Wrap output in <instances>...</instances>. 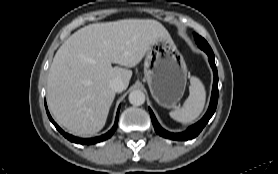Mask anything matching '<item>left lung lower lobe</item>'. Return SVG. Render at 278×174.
Instances as JSON below:
<instances>
[{
  "instance_id": "1",
  "label": "left lung lower lobe",
  "mask_w": 278,
  "mask_h": 174,
  "mask_svg": "<svg viewBox=\"0 0 278 174\" xmlns=\"http://www.w3.org/2000/svg\"><path fill=\"white\" fill-rule=\"evenodd\" d=\"M205 52L209 57V62L213 69V74H214L212 96H211V101H210L208 111L206 112L204 117L199 122L190 126L186 131L181 132V133H171V132L166 131L159 125L152 110L149 108L154 129H155L156 133L159 134L160 136L169 138V139H173V140H181V141L191 140V139L195 138L202 131V129L208 123L210 118L213 116V114L216 110V107H217V102H218V73H217V68L215 65L213 51H205Z\"/></svg>"
}]
</instances>
